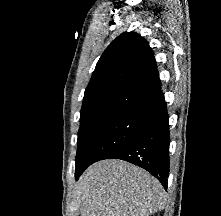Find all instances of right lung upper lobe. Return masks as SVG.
<instances>
[{
    "instance_id": "obj_1",
    "label": "right lung upper lobe",
    "mask_w": 221,
    "mask_h": 216,
    "mask_svg": "<svg viewBox=\"0 0 221 216\" xmlns=\"http://www.w3.org/2000/svg\"><path fill=\"white\" fill-rule=\"evenodd\" d=\"M164 99L153 52L126 32L104 51L85 90L80 124L113 113L149 114Z\"/></svg>"
}]
</instances>
